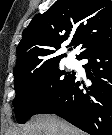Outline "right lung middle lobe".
I'll list each match as a JSON object with an SVG mask.
<instances>
[{
  "instance_id": "right-lung-middle-lobe-1",
  "label": "right lung middle lobe",
  "mask_w": 112,
  "mask_h": 135,
  "mask_svg": "<svg viewBox=\"0 0 112 135\" xmlns=\"http://www.w3.org/2000/svg\"><path fill=\"white\" fill-rule=\"evenodd\" d=\"M58 67L59 61H55L37 72L15 77L16 96L13 106L18 123L24 124L31 116L37 114L70 82L74 73H65Z\"/></svg>"
}]
</instances>
